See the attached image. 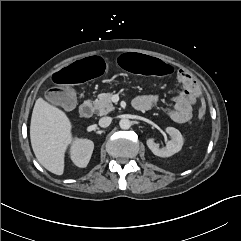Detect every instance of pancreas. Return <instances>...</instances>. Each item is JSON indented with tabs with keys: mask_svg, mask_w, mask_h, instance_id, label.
<instances>
[{
	"mask_svg": "<svg viewBox=\"0 0 241 241\" xmlns=\"http://www.w3.org/2000/svg\"><path fill=\"white\" fill-rule=\"evenodd\" d=\"M113 93H103L98 96V98L93 102V109L99 115H106L114 110L111 98Z\"/></svg>",
	"mask_w": 241,
	"mask_h": 241,
	"instance_id": "1",
	"label": "pancreas"
}]
</instances>
